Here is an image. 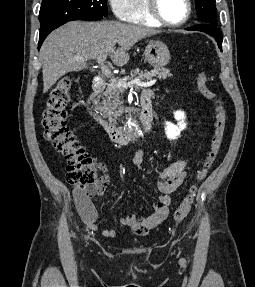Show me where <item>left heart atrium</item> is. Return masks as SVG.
<instances>
[{"label": "left heart atrium", "instance_id": "39dd6f15", "mask_svg": "<svg viewBox=\"0 0 255 287\" xmlns=\"http://www.w3.org/2000/svg\"><path fill=\"white\" fill-rule=\"evenodd\" d=\"M113 33H125V32H113ZM114 39H130V38H114ZM117 48V47H115ZM124 48H131V47H124Z\"/></svg>", "mask_w": 255, "mask_h": 287}]
</instances>
